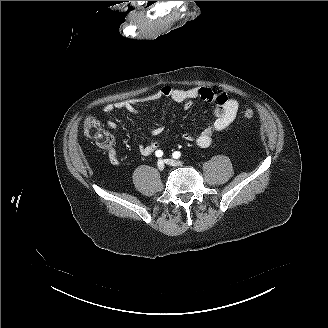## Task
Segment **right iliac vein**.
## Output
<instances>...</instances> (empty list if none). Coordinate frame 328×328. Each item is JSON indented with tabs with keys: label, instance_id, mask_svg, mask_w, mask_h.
Wrapping results in <instances>:
<instances>
[{
	"label": "right iliac vein",
	"instance_id": "1",
	"mask_svg": "<svg viewBox=\"0 0 328 328\" xmlns=\"http://www.w3.org/2000/svg\"><path fill=\"white\" fill-rule=\"evenodd\" d=\"M157 166H158V169H159L160 171L164 170V168H165V163H164V161H163V160H159V161L157 162Z\"/></svg>",
	"mask_w": 328,
	"mask_h": 328
}]
</instances>
